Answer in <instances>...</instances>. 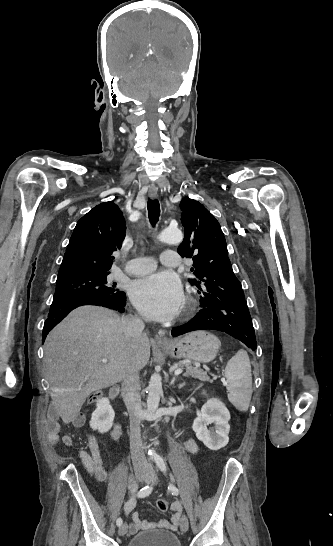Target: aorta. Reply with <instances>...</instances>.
I'll return each mask as SVG.
<instances>
[{
	"label": "aorta",
	"instance_id": "aorta-1",
	"mask_svg": "<svg viewBox=\"0 0 333 546\" xmlns=\"http://www.w3.org/2000/svg\"><path fill=\"white\" fill-rule=\"evenodd\" d=\"M158 240L166 243H180L183 234L179 229H165L158 235ZM162 395V378L159 373L151 376L148 386L147 412L152 415L158 408L160 396Z\"/></svg>",
	"mask_w": 333,
	"mask_h": 546
}]
</instances>
